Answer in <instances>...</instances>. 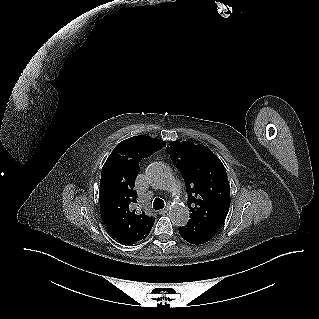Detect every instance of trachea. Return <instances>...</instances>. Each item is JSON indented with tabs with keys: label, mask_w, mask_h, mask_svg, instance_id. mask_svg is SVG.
Wrapping results in <instances>:
<instances>
[{
	"label": "trachea",
	"mask_w": 319,
	"mask_h": 319,
	"mask_svg": "<svg viewBox=\"0 0 319 319\" xmlns=\"http://www.w3.org/2000/svg\"><path fill=\"white\" fill-rule=\"evenodd\" d=\"M164 201L160 198H156L153 202V208L155 210H160V209H163L164 208Z\"/></svg>",
	"instance_id": "trachea-1"
}]
</instances>
